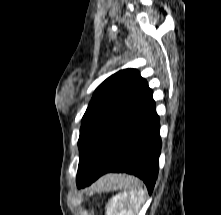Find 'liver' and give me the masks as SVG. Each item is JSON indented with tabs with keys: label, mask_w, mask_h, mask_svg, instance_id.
Masks as SVG:
<instances>
[{
	"label": "liver",
	"mask_w": 221,
	"mask_h": 215,
	"mask_svg": "<svg viewBox=\"0 0 221 215\" xmlns=\"http://www.w3.org/2000/svg\"><path fill=\"white\" fill-rule=\"evenodd\" d=\"M108 180H110V176L104 177L102 180H100V184L106 183Z\"/></svg>",
	"instance_id": "1"
}]
</instances>
